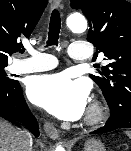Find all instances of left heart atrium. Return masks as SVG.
Segmentation results:
<instances>
[{
  "label": "left heart atrium",
  "instance_id": "obj_1",
  "mask_svg": "<svg viewBox=\"0 0 131 151\" xmlns=\"http://www.w3.org/2000/svg\"><path fill=\"white\" fill-rule=\"evenodd\" d=\"M27 95L36 105L64 120H76L86 109L88 88L65 73L40 75L27 85Z\"/></svg>",
  "mask_w": 131,
  "mask_h": 151
}]
</instances>
